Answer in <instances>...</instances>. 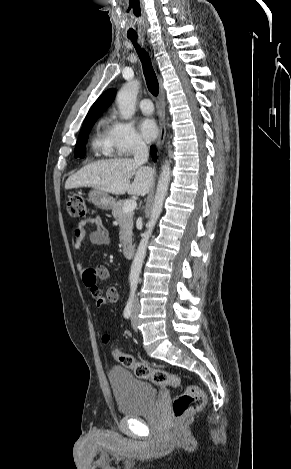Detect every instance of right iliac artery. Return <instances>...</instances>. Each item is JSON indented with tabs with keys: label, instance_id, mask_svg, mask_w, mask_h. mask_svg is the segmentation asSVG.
I'll return each mask as SVG.
<instances>
[{
	"label": "right iliac artery",
	"instance_id": "1",
	"mask_svg": "<svg viewBox=\"0 0 291 469\" xmlns=\"http://www.w3.org/2000/svg\"><path fill=\"white\" fill-rule=\"evenodd\" d=\"M132 302H133V296L129 298L127 305L124 309L123 315L126 319H128L131 316L132 313Z\"/></svg>",
	"mask_w": 291,
	"mask_h": 469
}]
</instances>
